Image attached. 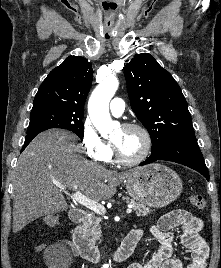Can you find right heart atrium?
I'll list each match as a JSON object with an SVG mask.
<instances>
[{"instance_id":"obj_1","label":"right heart atrium","mask_w":221,"mask_h":268,"mask_svg":"<svg viewBox=\"0 0 221 268\" xmlns=\"http://www.w3.org/2000/svg\"><path fill=\"white\" fill-rule=\"evenodd\" d=\"M81 141L86 155L96 162L106 161L112 151L111 145L101 138L89 118L83 121Z\"/></svg>"}]
</instances>
